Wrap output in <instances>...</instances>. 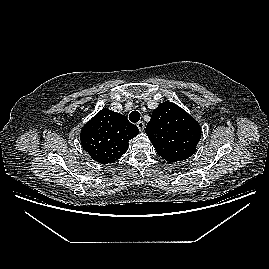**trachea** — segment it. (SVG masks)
I'll return each instance as SVG.
<instances>
[{"instance_id": "1", "label": "trachea", "mask_w": 269, "mask_h": 269, "mask_svg": "<svg viewBox=\"0 0 269 269\" xmlns=\"http://www.w3.org/2000/svg\"><path fill=\"white\" fill-rule=\"evenodd\" d=\"M129 120L136 123L140 120V113L138 111H132L129 115Z\"/></svg>"}]
</instances>
